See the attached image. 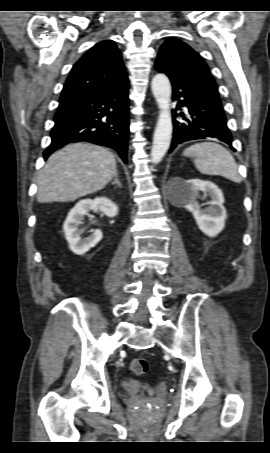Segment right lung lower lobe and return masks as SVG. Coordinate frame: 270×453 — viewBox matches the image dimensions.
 I'll return each instance as SVG.
<instances>
[{
    "label": "right lung lower lobe",
    "mask_w": 270,
    "mask_h": 453,
    "mask_svg": "<svg viewBox=\"0 0 270 453\" xmlns=\"http://www.w3.org/2000/svg\"><path fill=\"white\" fill-rule=\"evenodd\" d=\"M128 88L124 78L104 92L60 100L44 159L66 144L86 141L115 149L127 163Z\"/></svg>",
    "instance_id": "1"
}]
</instances>
